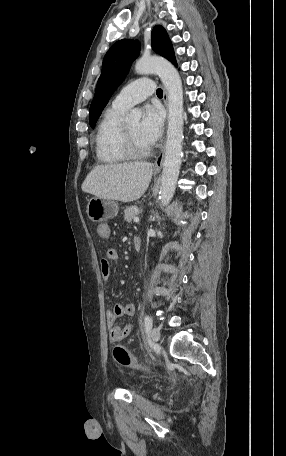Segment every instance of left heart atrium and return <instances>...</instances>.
Segmentation results:
<instances>
[{
    "instance_id": "39dd6f15",
    "label": "left heart atrium",
    "mask_w": 286,
    "mask_h": 456,
    "mask_svg": "<svg viewBox=\"0 0 286 456\" xmlns=\"http://www.w3.org/2000/svg\"><path fill=\"white\" fill-rule=\"evenodd\" d=\"M164 114L160 107L147 105L140 123L141 135L152 145L162 133Z\"/></svg>"
}]
</instances>
